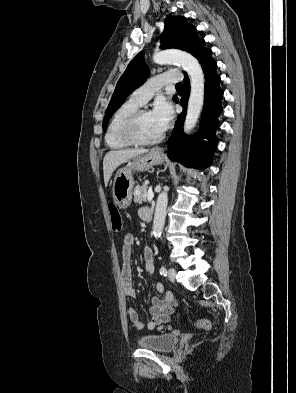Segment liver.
<instances>
[{"label": "liver", "mask_w": 296, "mask_h": 393, "mask_svg": "<svg viewBox=\"0 0 296 393\" xmlns=\"http://www.w3.org/2000/svg\"><path fill=\"white\" fill-rule=\"evenodd\" d=\"M148 152V149H124V150H113L109 151L103 160V172H104V183L108 185L109 179L115 169L121 164L135 158L139 155H143Z\"/></svg>", "instance_id": "liver-1"}]
</instances>
